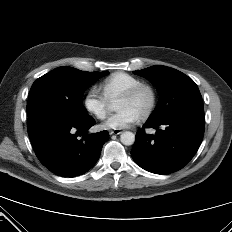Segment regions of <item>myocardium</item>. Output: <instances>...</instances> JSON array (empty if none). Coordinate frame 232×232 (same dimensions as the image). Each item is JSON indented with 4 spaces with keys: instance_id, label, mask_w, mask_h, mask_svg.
Returning a JSON list of instances; mask_svg holds the SVG:
<instances>
[{
    "instance_id": "1",
    "label": "myocardium",
    "mask_w": 232,
    "mask_h": 232,
    "mask_svg": "<svg viewBox=\"0 0 232 232\" xmlns=\"http://www.w3.org/2000/svg\"><path fill=\"white\" fill-rule=\"evenodd\" d=\"M144 90L149 92L150 102L145 111L140 115L142 119L148 118L153 113L157 105L158 95L153 85L141 82L118 97V100H131L137 97Z\"/></svg>"
}]
</instances>
